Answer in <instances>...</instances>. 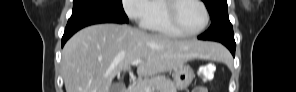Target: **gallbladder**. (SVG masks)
I'll list each match as a JSON object with an SVG mask.
<instances>
[{
  "label": "gallbladder",
  "instance_id": "gallbladder-1",
  "mask_svg": "<svg viewBox=\"0 0 296 92\" xmlns=\"http://www.w3.org/2000/svg\"><path fill=\"white\" fill-rule=\"evenodd\" d=\"M124 85L121 83H115L111 86V92H122L124 90Z\"/></svg>",
  "mask_w": 296,
  "mask_h": 92
}]
</instances>
